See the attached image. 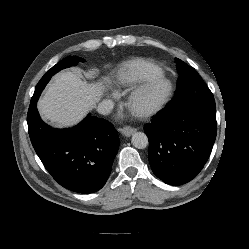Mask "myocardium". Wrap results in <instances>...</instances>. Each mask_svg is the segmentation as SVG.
I'll return each instance as SVG.
<instances>
[{"instance_id": "1", "label": "myocardium", "mask_w": 249, "mask_h": 249, "mask_svg": "<svg viewBox=\"0 0 249 249\" xmlns=\"http://www.w3.org/2000/svg\"><path fill=\"white\" fill-rule=\"evenodd\" d=\"M172 93V84L163 75L138 86L128 98L129 108L137 115H148L161 108Z\"/></svg>"}]
</instances>
